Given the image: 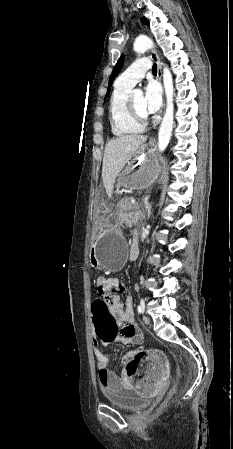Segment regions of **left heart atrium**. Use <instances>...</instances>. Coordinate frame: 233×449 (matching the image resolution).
Wrapping results in <instances>:
<instances>
[{"label": "left heart atrium", "mask_w": 233, "mask_h": 449, "mask_svg": "<svg viewBox=\"0 0 233 449\" xmlns=\"http://www.w3.org/2000/svg\"><path fill=\"white\" fill-rule=\"evenodd\" d=\"M144 107L148 114L156 113L162 103V91L158 83L151 81L145 87Z\"/></svg>", "instance_id": "1"}]
</instances>
